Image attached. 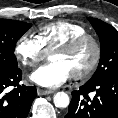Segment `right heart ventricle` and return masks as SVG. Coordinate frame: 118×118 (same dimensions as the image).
Returning a JSON list of instances; mask_svg holds the SVG:
<instances>
[{
  "label": "right heart ventricle",
  "mask_w": 118,
  "mask_h": 118,
  "mask_svg": "<svg viewBox=\"0 0 118 118\" xmlns=\"http://www.w3.org/2000/svg\"><path fill=\"white\" fill-rule=\"evenodd\" d=\"M86 33V28L79 23L59 20L41 26L36 38L48 53L66 41Z\"/></svg>",
  "instance_id": "right-heart-ventricle-1"
}]
</instances>
